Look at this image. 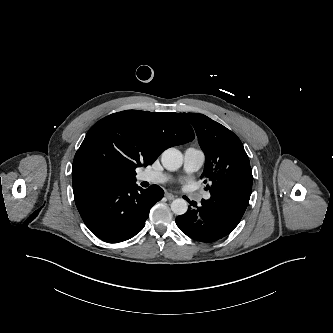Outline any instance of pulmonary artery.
<instances>
[{"mask_svg":"<svg viewBox=\"0 0 333 333\" xmlns=\"http://www.w3.org/2000/svg\"><path fill=\"white\" fill-rule=\"evenodd\" d=\"M205 160L204 153L197 148H187L184 151V170L187 173H194L198 171ZM138 181H144L149 183H164L169 180V176L152 170H146L137 175ZM203 198L208 200L210 198L209 193H204Z\"/></svg>","mask_w":333,"mask_h":333,"instance_id":"e3ab8cb5","label":"pulmonary artery"}]
</instances>
